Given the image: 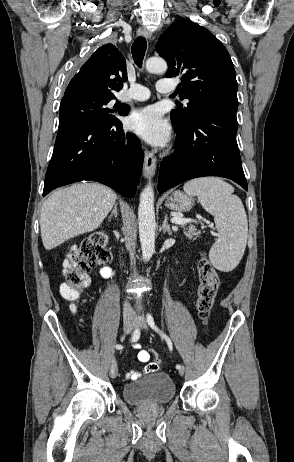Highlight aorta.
I'll return each mask as SVG.
<instances>
[{"label": "aorta", "instance_id": "1", "mask_svg": "<svg viewBox=\"0 0 294 462\" xmlns=\"http://www.w3.org/2000/svg\"><path fill=\"white\" fill-rule=\"evenodd\" d=\"M146 69L150 73H162L167 70V63L162 58L151 57L146 61ZM138 224L142 256L145 261H148L155 251L156 228L154 191L151 183L140 194Z\"/></svg>", "mask_w": 294, "mask_h": 462}]
</instances>
